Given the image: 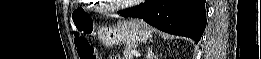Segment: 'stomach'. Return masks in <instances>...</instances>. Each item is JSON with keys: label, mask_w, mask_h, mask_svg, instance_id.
<instances>
[{"label": "stomach", "mask_w": 261, "mask_h": 59, "mask_svg": "<svg viewBox=\"0 0 261 59\" xmlns=\"http://www.w3.org/2000/svg\"><path fill=\"white\" fill-rule=\"evenodd\" d=\"M153 35L150 26L138 19L120 20L117 25L103 26L98 32L101 43L110 48L115 45H134L146 42Z\"/></svg>", "instance_id": "0dacf381"}]
</instances>
